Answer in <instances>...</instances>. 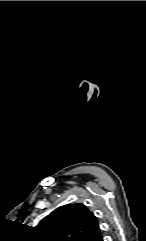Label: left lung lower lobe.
Listing matches in <instances>:
<instances>
[{"label":"left lung lower lobe","instance_id":"left-lung-lower-lobe-1","mask_svg":"<svg viewBox=\"0 0 146 241\" xmlns=\"http://www.w3.org/2000/svg\"><path fill=\"white\" fill-rule=\"evenodd\" d=\"M86 241H103L101 231L99 230L95 235L89 237Z\"/></svg>","mask_w":146,"mask_h":241}]
</instances>
